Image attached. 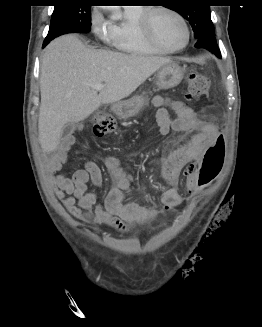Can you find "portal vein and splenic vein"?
Masks as SVG:
<instances>
[{
	"mask_svg": "<svg viewBox=\"0 0 262 327\" xmlns=\"http://www.w3.org/2000/svg\"><path fill=\"white\" fill-rule=\"evenodd\" d=\"M104 88V85L103 84H95L92 86V89L96 90V91H100Z\"/></svg>",
	"mask_w": 262,
	"mask_h": 327,
	"instance_id": "18ae733b",
	"label": "portal vein and splenic vein"
}]
</instances>
